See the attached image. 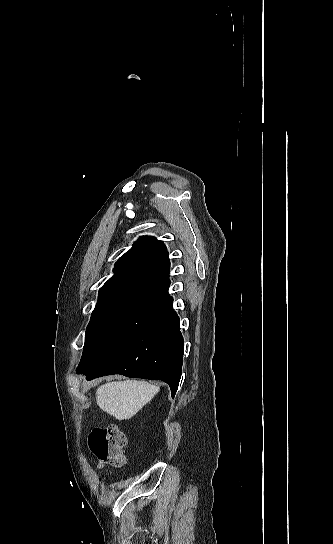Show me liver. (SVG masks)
Wrapping results in <instances>:
<instances>
[{
  "instance_id": "liver-1",
  "label": "liver",
  "mask_w": 333,
  "mask_h": 544,
  "mask_svg": "<svg viewBox=\"0 0 333 544\" xmlns=\"http://www.w3.org/2000/svg\"><path fill=\"white\" fill-rule=\"evenodd\" d=\"M158 390V387L145 381L108 382L97 389L96 402L117 420H127L146 405Z\"/></svg>"
}]
</instances>
